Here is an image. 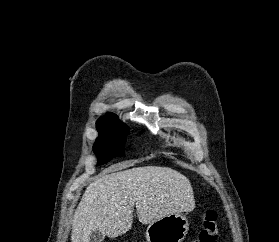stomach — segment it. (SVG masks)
<instances>
[{
    "mask_svg": "<svg viewBox=\"0 0 279 242\" xmlns=\"http://www.w3.org/2000/svg\"><path fill=\"white\" fill-rule=\"evenodd\" d=\"M189 230L188 219L182 213L166 215L148 225L147 242H182Z\"/></svg>",
    "mask_w": 279,
    "mask_h": 242,
    "instance_id": "1",
    "label": "stomach"
}]
</instances>
